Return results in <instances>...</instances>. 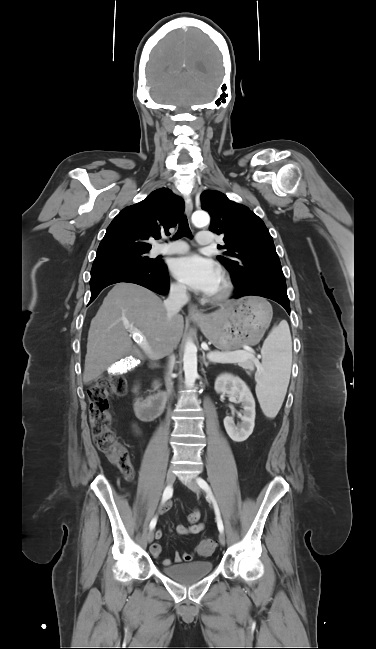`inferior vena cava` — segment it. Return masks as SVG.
Segmentation results:
<instances>
[{
	"instance_id": "obj_1",
	"label": "inferior vena cava",
	"mask_w": 376,
	"mask_h": 649,
	"mask_svg": "<svg viewBox=\"0 0 376 649\" xmlns=\"http://www.w3.org/2000/svg\"><path fill=\"white\" fill-rule=\"evenodd\" d=\"M188 302V295L185 285H173L170 287L168 298L164 301V306L167 311V317L172 318L176 315L181 308ZM174 356L170 353L169 365L172 364ZM167 393H171V383L166 381Z\"/></svg>"
}]
</instances>
